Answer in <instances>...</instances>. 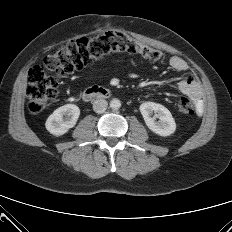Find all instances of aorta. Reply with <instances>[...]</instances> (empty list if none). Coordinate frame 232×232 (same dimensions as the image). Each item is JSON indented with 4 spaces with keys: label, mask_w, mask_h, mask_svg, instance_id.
<instances>
[{
    "label": "aorta",
    "mask_w": 232,
    "mask_h": 232,
    "mask_svg": "<svg viewBox=\"0 0 232 232\" xmlns=\"http://www.w3.org/2000/svg\"><path fill=\"white\" fill-rule=\"evenodd\" d=\"M121 107V101L117 98H113L110 101V108L113 110H118Z\"/></svg>",
    "instance_id": "1"
}]
</instances>
